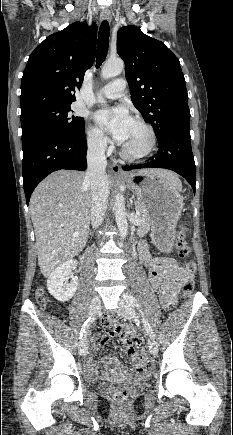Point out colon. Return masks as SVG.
I'll list each match as a JSON object with an SVG mask.
<instances>
[{
  "label": "colon",
  "mask_w": 233,
  "mask_h": 435,
  "mask_svg": "<svg viewBox=\"0 0 233 435\" xmlns=\"http://www.w3.org/2000/svg\"><path fill=\"white\" fill-rule=\"evenodd\" d=\"M187 229L183 225H179L178 233L176 237V245L179 257L184 259L183 266L185 270L189 273H194L196 271V263L190 258L191 249L186 240ZM194 290V283L192 279H187L182 283V295L185 299H188ZM37 303L45 308L49 306V302L43 294V291L39 289L37 291L36 297ZM129 344V343H128ZM142 359L147 357V353L142 351L140 353ZM106 392L112 397L114 402L118 405H122L128 401L129 394L128 391L122 388L107 389Z\"/></svg>",
  "instance_id": "colon-1"
}]
</instances>
